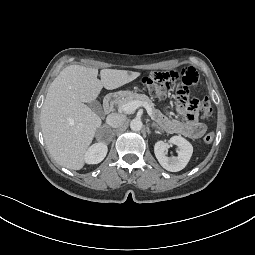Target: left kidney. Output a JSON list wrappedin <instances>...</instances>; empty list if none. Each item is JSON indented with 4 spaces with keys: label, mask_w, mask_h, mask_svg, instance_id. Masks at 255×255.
Instances as JSON below:
<instances>
[{
    "label": "left kidney",
    "mask_w": 255,
    "mask_h": 255,
    "mask_svg": "<svg viewBox=\"0 0 255 255\" xmlns=\"http://www.w3.org/2000/svg\"><path fill=\"white\" fill-rule=\"evenodd\" d=\"M169 143L179 147L180 150L178 152V156H166L167 144L164 141H157L155 143L154 153L158 162L164 169L171 172H178L184 169L188 164L193 153V147L189 141L180 135L172 136L169 140Z\"/></svg>",
    "instance_id": "5707ae66"
}]
</instances>
